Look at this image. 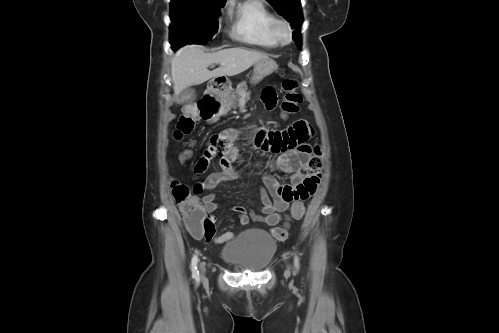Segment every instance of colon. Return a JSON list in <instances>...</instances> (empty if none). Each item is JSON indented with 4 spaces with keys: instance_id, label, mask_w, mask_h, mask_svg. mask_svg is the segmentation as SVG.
Instances as JSON below:
<instances>
[{
    "instance_id": "obj_1",
    "label": "colon",
    "mask_w": 499,
    "mask_h": 333,
    "mask_svg": "<svg viewBox=\"0 0 499 333\" xmlns=\"http://www.w3.org/2000/svg\"><path fill=\"white\" fill-rule=\"evenodd\" d=\"M297 81L293 78H285L282 81L284 97L281 103V113L285 117L293 116L300 110L302 96L297 90ZM215 106V102H211ZM196 119L191 111L181 115L176 124L175 137L180 139L190 134L195 128ZM185 157V156H184ZM173 198L184 216V224L188 231L195 236L202 237L207 241L212 240L215 234L213 220L208 216L200 201L191 194L190 188L182 183H173ZM305 214L302 202H293L290 208L289 220H300ZM273 237L283 241L288 237V223L283 227L272 230Z\"/></svg>"
}]
</instances>
